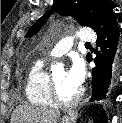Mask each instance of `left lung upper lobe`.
<instances>
[{
  "mask_svg": "<svg viewBox=\"0 0 122 123\" xmlns=\"http://www.w3.org/2000/svg\"><path fill=\"white\" fill-rule=\"evenodd\" d=\"M53 11L73 16L82 26L91 27L95 32L100 30L113 14L108 0H54L52 10L36 21L26 34V37L35 35Z\"/></svg>",
  "mask_w": 122,
  "mask_h": 123,
  "instance_id": "5c2ea615",
  "label": "left lung upper lobe"
}]
</instances>
